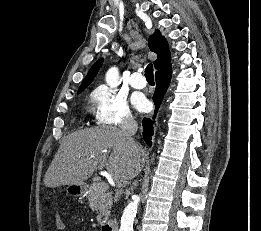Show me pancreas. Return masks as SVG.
<instances>
[{
    "label": "pancreas",
    "mask_w": 261,
    "mask_h": 231,
    "mask_svg": "<svg viewBox=\"0 0 261 231\" xmlns=\"http://www.w3.org/2000/svg\"><path fill=\"white\" fill-rule=\"evenodd\" d=\"M101 183L100 179H96L88 188L87 194L90 208L98 213V223H103L110 217L113 203L111 193L107 192V190H102L100 188Z\"/></svg>",
    "instance_id": "1"
}]
</instances>
